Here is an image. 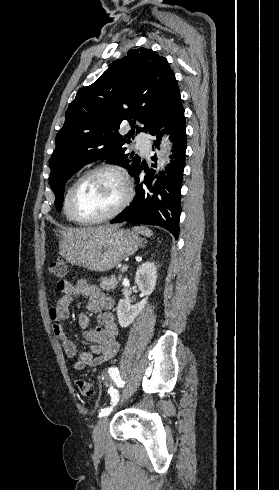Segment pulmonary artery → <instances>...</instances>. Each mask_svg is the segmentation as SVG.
<instances>
[{
	"label": "pulmonary artery",
	"instance_id": "e3ab8cb5",
	"mask_svg": "<svg viewBox=\"0 0 279 490\" xmlns=\"http://www.w3.org/2000/svg\"><path fill=\"white\" fill-rule=\"evenodd\" d=\"M141 134L142 135H145L146 134V131L145 130H142L141 131ZM137 145H138L139 148H141L144 151H147L148 150V142L147 141L138 139Z\"/></svg>",
	"mask_w": 279,
	"mask_h": 490
}]
</instances>
